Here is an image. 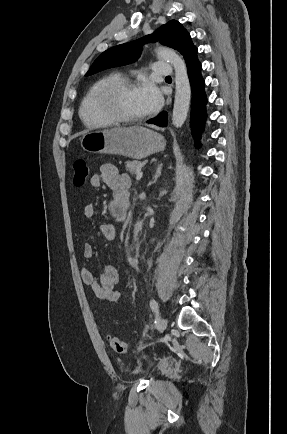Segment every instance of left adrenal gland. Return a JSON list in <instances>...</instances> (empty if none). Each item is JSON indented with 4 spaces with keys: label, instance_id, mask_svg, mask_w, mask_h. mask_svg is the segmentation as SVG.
<instances>
[{
    "label": "left adrenal gland",
    "instance_id": "left-adrenal-gland-1",
    "mask_svg": "<svg viewBox=\"0 0 287 434\" xmlns=\"http://www.w3.org/2000/svg\"><path fill=\"white\" fill-rule=\"evenodd\" d=\"M162 165H163L162 163L158 164L156 173H155L152 181H150L148 185H151L157 181L158 177L161 175Z\"/></svg>",
    "mask_w": 287,
    "mask_h": 434
}]
</instances>
